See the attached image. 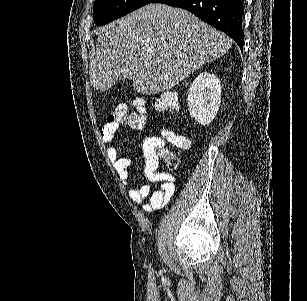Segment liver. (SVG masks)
Returning <instances> with one entry per match:
<instances>
[{
  "label": "liver",
  "instance_id": "obj_1",
  "mask_svg": "<svg viewBox=\"0 0 307 301\" xmlns=\"http://www.w3.org/2000/svg\"><path fill=\"white\" fill-rule=\"evenodd\" d=\"M97 34L89 68L94 88L109 90L120 78H130L140 94L169 90L233 44L192 12L160 2L145 4Z\"/></svg>",
  "mask_w": 307,
  "mask_h": 301
}]
</instances>
